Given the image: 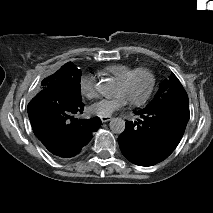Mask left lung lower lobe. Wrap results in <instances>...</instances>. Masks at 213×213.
Masks as SVG:
<instances>
[{"label": "left lung lower lobe", "instance_id": "obj_1", "mask_svg": "<svg viewBox=\"0 0 213 213\" xmlns=\"http://www.w3.org/2000/svg\"><path fill=\"white\" fill-rule=\"evenodd\" d=\"M138 121H127L118 142L134 164L149 166L165 159L181 140L189 118L170 110H140Z\"/></svg>", "mask_w": 213, "mask_h": 213}]
</instances>
